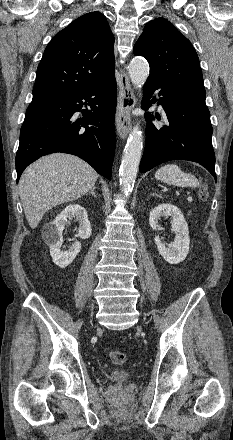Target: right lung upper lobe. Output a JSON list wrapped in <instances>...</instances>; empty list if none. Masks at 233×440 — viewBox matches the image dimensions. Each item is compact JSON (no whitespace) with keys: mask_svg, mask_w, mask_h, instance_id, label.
Here are the masks:
<instances>
[{"mask_svg":"<svg viewBox=\"0 0 233 440\" xmlns=\"http://www.w3.org/2000/svg\"><path fill=\"white\" fill-rule=\"evenodd\" d=\"M114 37L105 16L82 15L58 32L38 65L33 98L83 90L114 75Z\"/></svg>","mask_w":233,"mask_h":440,"instance_id":"cb5924a9","label":"right lung upper lobe"}]
</instances>
